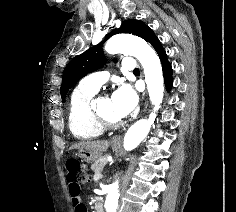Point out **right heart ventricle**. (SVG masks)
Here are the masks:
<instances>
[{
  "mask_svg": "<svg viewBox=\"0 0 236 212\" xmlns=\"http://www.w3.org/2000/svg\"><path fill=\"white\" fill-rule=\"evenodd\" d=\"M97 91L81 82L71 94L68 123L70 131L78 139H94L104 133L105 129L97 121L91 107V100Z\"/></svg>",
  "mask_w": 236,
  "mask_h": 212,
  "instance_id": "e07e8e85",
  "label": "right heart ventricle"
}]
</instances>
